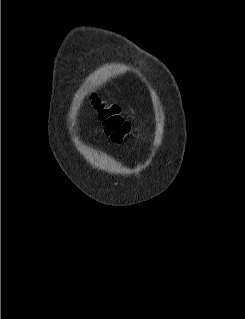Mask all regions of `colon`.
<instances>
[{"instance_id":"obj_1","label":"colon","mask_w":245,"mask_h":319,"mask_svg":"<svg viewBox=\"0 0 245 319\" xmlns=\"http://www.w3.org/2000/svg\"><path fill=\"white\" fill-rule=\"evenodd\" d=\"M93 102L96 111L105 124L106 133L115 143H121L130 133L131 126L120 115L119 107L116 105L107 106L104 101L96 96Z\"/></svg>"}]
</instances>
